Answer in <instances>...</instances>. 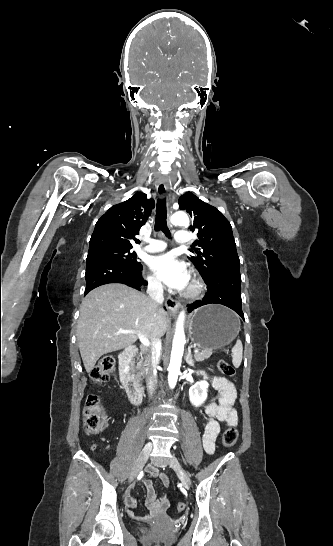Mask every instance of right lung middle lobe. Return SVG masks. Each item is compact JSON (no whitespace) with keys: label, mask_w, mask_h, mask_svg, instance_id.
I'll use <instances>...</instances> for the list:
<instances>
[{"label":"right lung middle lobe","mask_w":333,"mask_h":546,"mask_svg":"<svg viewBox=\"0 0 333 546\" xmlns=\"http://www.w3.org/2000/svg\"><path fill=\"white\" fill-rule=\"evenodd\" d=\"M92 256L108 257L132 266L141 265V263L137 261L136 253L131 252V248L129 247H104L89 251L87 259Z\"/></svg>","instance_id":"dd1d6c3e"}]
</instances>
